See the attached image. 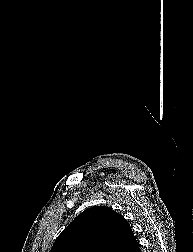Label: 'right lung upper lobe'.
Returning <instances> with one entry per match:
<instances>
[{
	"mask_svg": "<svg viewBox=\"0 0 193 252\" xmlns=\"http://www.w3.org/2000/svg\"><path fill=\"white\" fill-rule=\"evenodd\" d=\"M137 246L129 223L120 214L94 206L60 233L50 252H134Z\"/></svg>",
	"mask_w": 193,
	"mask_h": 252,
	"instance_id": "1",
	"label": "right lung upper lobe"
}]
</instances>
